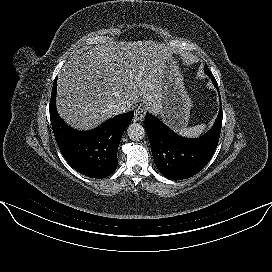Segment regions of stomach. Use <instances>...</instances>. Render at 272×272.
<instances>
[{
	"mask_svg": "<svg viewBox=\"0 0 272 272\" xmlns=\"http://www.w3.org/2000/svg\"><path fill=\"white\" fill-rule=\"evenodd\" d=\"M161 94L158 106L151 109L176 131L188 124L192 101L184 87L183 77L177 62L171 57L163 67Z\"/></svg>",
	"mask_w": 272,
	"mask_h": 272,
	"instance_id": "obj_1",
	"label": "stomach"
}]
</instances>
